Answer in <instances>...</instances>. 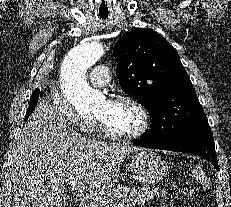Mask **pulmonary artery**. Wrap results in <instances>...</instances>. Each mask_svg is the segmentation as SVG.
Segmentation results:
<instances>
[{"label":"pulmonary artery","mask_w":231,"mask_h":207,"mask_svg":"<svg viewBox=\"0 0 231 207\" xmlns=\"http://www.w3.org/2000/svg\"><path fill=\"white\" fill-rule=\"evenodd\" d=\"M89 80L96 87L106 86L110 81V72L105 65H96L89 74Z\"/></svg>","instance_id":"pulmonary-artery-1"}]
</instances>
